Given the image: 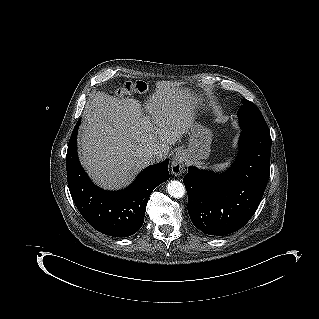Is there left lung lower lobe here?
<instances>
[{
	"label": "left lung lower lobe",
	"mask_w": 319,
	"mask_h": 319,
	"mask_svg": "<svg viewBox=\"0 0 319 319\" xmlns=\"http://www.w3.org/2000/svg\"><path fill=\"white\" fill-rule=\"evenodd\" d=\"M240 153L223 174L188 168V212L197 229L223 236L242 228L263 197L270 171V132L242 130Z\"/></svg>",
	"instance_id": "1"
}]
</instances>
